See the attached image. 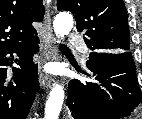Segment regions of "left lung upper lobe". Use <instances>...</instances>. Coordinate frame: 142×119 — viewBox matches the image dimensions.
<instances>
[{"label": "left lung upper lobe", "mask_w": 142, "mask_h": 119, "mask_svg": "<svg viewBox=\"0 0 142 119\" xmlns=\"http://www.w3.org/2000/svg\"><path fill=\"white\" fill-rule=\"evenodd\" d=\"M59 11H70L78 31L92 51L121 53L130 51L126 8L122 0H58Z\"/></svg>", "instance_id": "obj_1"}]
</instances>
